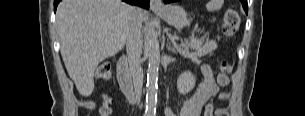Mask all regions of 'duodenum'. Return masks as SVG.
Masks as SVG:
<instances>
[{
	"instance_id": "duodenum-1",
	"label": "duodenum",
	"mask_w": 305,
	"mask_h": 116,
	"mask_svg": "<svg viewBox=\"0 0 305 116\" xmlns=\"http://www.w3.org/2000/svg\"><path fill=\"white\" fill-rule=\"evenodd\" d=\"M117 79L121 91L131 102H136L137 98L134 93L131 77L128 72V63L126 57H121L117 63Z\"/></svg>"
}]
</instances>
